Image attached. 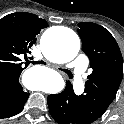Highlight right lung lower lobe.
<instances>
[{
    "instance_id": "obj_1",
    "label": "right lung lower lobe",
    "mask_w": 124,
    "mask_h": 124,
    "mask_svg": "<svg viewBox=\"0 0 124 124\" xmlns=\"http://www.w3.org/2000/svg\"><path fill=\"white\" fill-rule=\"evenodd\" d=\"M29 93L22 90L19 80L0 84V118L18 114L28 99Z\"/></svg>"
}]
</instances>
